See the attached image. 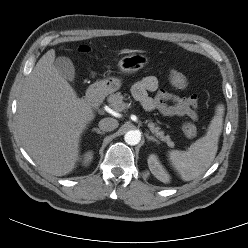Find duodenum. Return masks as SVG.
<instances>
[{"label":"duodenum","mask_w":248,"mask_h":248,"mask_svg":"<svg viewBox=\"0 0 248 248\" xmlns=\"http://www.w3.org/2000/svg\"><path fill=\"white\" fill-rule=\"evenodd\" d=\"M102 101L101 94L99 91H92L87 96V102L90 106H98Z\"/></svg>","instance_id":"obj_1"}]
</instances>
